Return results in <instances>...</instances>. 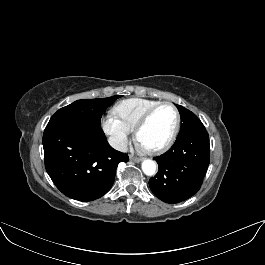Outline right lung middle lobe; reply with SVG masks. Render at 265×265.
<instances>
[{"label": "right lung middle lobe", "mask_w": 265, "mask_h": 265, "mask_svg": "<svg viewBox=\"0 0 265 265\" xmlns=\"http://www.w3.org/2000/svg\"><path fill=\"white\" fill-rule=\"evenodd\" d=\"M121 95L108 98L77 100L68 106L59 109L50 120L73 119L101 126V117L104 110Z\"/></svg>", "instance_id": "obj_1"}]
</instances>
